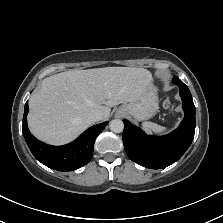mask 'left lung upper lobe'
Segmentation results:
<instances>
[{"label": "left lung upper lobe", "instance_id": "left-lung-upper-lobe-1", "mask_svg": "<svg viewBox=\"0 0 223 223\" xmlns=\"http://www.w3.org/2000/svg\"><path fill=\"white\" fill-rule=\"evenodd\" d=\"M174 80H180V79H179L178 77L175 76V77L173 78V81H174Z\"/></svg>", "mask_w": 223, "mask_h": 223}]
</instances>
